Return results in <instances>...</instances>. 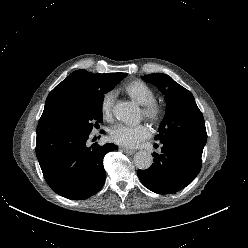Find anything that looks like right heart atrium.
<instances>
[{
    "label": "right heart atrium",
    "mask_w": 248,
    "mask_h": 248,
    "mask_svg": "<svg viewBox=\"0 0 248 248\" xmlns=\"http://www.w3.org/2000/svg\"><path fill=\"white\" fill-rule=\"evenodd\" d=\"M114 96L112 93H106L100 103V111L104 120L111 121L113 117Z\"/></svg>",
    "instance_id": "right-heart-atrium-1"
}]
</instances>
